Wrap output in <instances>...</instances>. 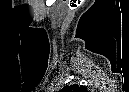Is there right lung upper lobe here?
I'll use <instances>...</instances> for the list:
<instances>
[{
  "label": "right lung upper lobe",
  "mask_w": 129,
  "mask_h": 92,
  "mask_svg": "<svg viewBox=\"0 0 129 92\" xmlns=\"http://www.w3.org/2000/svg\"><path fill=\"white\" fill-rule=\"evenodd\" d=\"M81 87L77 85L65 86L59 92H70L71 90H80Z\"/></svg>",
  "instance_id": "obj_1"
}]
</instances>
